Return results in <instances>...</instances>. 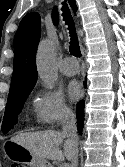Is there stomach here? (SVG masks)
Here are the masks:
<instances>
[{
  "instance_id": "0dacf381",
  "label": "stomach",
  "mask_w": 125,
  "mask_h": 167,
  "mask_svg": "<svg viewBox=\"0 0 125 167\" xmlns=\"http://www.w3.org/2000/svg\"><path fill=\"white\" fill-rule=\"evenodd\" d=\"M4 152L13 162L24 163L30 167H51L45 158L33 154L27 148L12 140L5 143Z\"/></svg>"
}]
</instances>
